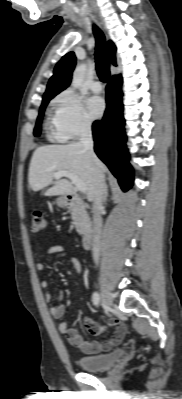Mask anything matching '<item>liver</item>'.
Returning a JSON list of instances; mask_svg holds the SVG:
<instances>
[{"label": "liver", "mask_w": 182, "mask_h": 399, "mask_svg": "<svg viewBox=\"0 0 182 399\" xmlns=\"http://www.w3.org/2000/svg\"><path fill=\"white\" fill-rule=\"evenodd\" d=\"M97 168L104 175L105 165L99 161L96 166L79 143L41 146L34 151L30 162L29 187L36 192L53 185L46 190L45 196L70 195L74 189L72 183L67 179L54 181L53 177L55 172L70 171L85 183L87 199L93 201Z\"/></svg>", "instance_id": "6515ba94"}]
</instances>
